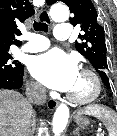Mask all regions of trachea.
Segmentation results:
<instances>
[{
    "instance_id": "1",
    "label": "trachea",
    "mask_w": 117,
    "mask_h": 136,
    "mask_svg": "<svg viewBox=\"0 0 117 136\" xmlns=\"http://www.w3.org/2000/svg\"><path fill=\"white\" fill-rule=\"evenodd\" d=\"M33 28L35 31L48 32V25L45 22L34 21Z\"/></svg>"
}]
</instances>
